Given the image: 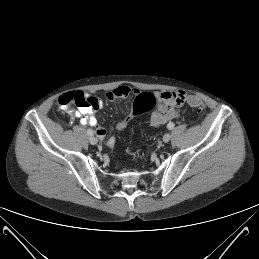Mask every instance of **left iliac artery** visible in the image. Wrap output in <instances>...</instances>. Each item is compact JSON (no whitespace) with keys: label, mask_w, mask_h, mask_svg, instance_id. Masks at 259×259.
Wrapping results in <instances>:
<instances>
[{"label":"left iliac artery","mask_w":259,"mask_h":259,"mask_svg":"<svg viewBox=\"0 0 259 259\" xmlns=\"http://www.w3.org/2000/svg\"><path fill=\"white\" fill-rule=\"evenodd\" d=\"M174 126H175L174 123L170 122V123H168L167 128L169 130H172L174 128Z\"/></svg>","instance_id":"44dca946"}]
</instances>
